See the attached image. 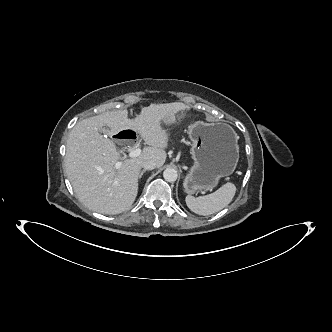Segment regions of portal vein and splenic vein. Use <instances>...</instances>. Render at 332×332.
<instances>
[{"mask_svg":"<svg viewBox=\"0 0 332 332\" xmlns=\"http://www.w3.org/2000/svg\"><path fill=\"white\" fill-rule=\"evenodd\" d=\"M140 154H141V149L140 148H135V149H132V150L129 151L128 156L130 158H135V157H138ZM121 165H122V162L117 161L115 163V168L119 169L121 167Z\"/></svg>","mask_w":332,"mask_h":332,"instance_id":"18ae733b","label":"portal vein and splenic vein"}]
</instances>
